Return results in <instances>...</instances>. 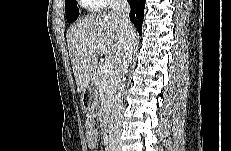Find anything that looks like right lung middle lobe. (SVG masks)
Returning <instances> with one entry per match:
<instances>
[{
    "mask_svg": "<svg viewBox=\"0 0 231 151\" xmlns=\"http://www.w3.org/2000/svg\"><path fill=\"white\" fill-rule=\"evenodd\" d=\"M66 18L69 23L77 19L79 15V9L77 7L76 0H68L65 2Z\"/></svg>",
    "mask_w": 231,
    "mask_h": 151,
    "instance_id": "dd1d6c3e",
    "label": "right lung middle lobe"
}]
</instances>
